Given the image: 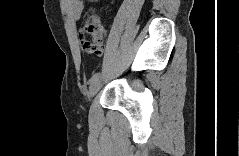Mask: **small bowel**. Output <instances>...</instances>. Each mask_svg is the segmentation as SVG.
I'll return each instance as SVG.
<instances>
[{
  "instance_id": "1",
  "label": "small bowel",
  "mask_w": 239,
  "mask_h": 156,
  "mask_svg": "<svg viewBox=\"0 0 239 156\" xmlns=\"http://www.w3.org/2000/svg\"><path fill=\"white\" fill-rule=\"evenodd\" d=\"M82 5H83V3H82L81 0H72L69 3V10H70L71 14L73 15V17L76 20H78L80 18V14H81V10H82ZM79 41H80V44L82 46L83 42L85 41V37L82 34L79 35ZM104 48H105V46L101 43V44L98 45V48H97L96 51H94L92 53H89V54H93V55L99 56V55H101L103 53Z\"/></svg>"
}]
</instances>
